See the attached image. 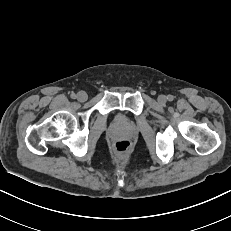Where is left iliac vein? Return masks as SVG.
I'll return each mask as SVG.
<instances>
[{
  "instance_id": "left-iliac-vein-1",
  "label": "left iliac vein",
  "mask_w": 231,
  "mask_h": 231,
  "mask_svg": "<svg viewBox=\"0 0 231 231\" xmlns=\"http://www.w3.org/2000/svg\"><path fill=\"white\" fill-rule=\"evenodd\" d=\"M167 101V98L165 95H159L158 96V102L161 104H164Z\"/></svg>"
}]
</instances>
